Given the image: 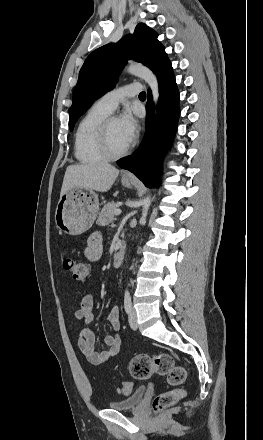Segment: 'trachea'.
<instances>
[{"mask_svg":"<svg viewBox=\"0 0 263 440\" xmlns=\"http://www.w3.org/2000/svg\"><path fill=\"white\" fill-rule=\"evenodd\" d=\"M139 97H146V93H145V92H141V93L139 94Z\"/></svg>","mask_w":263,"mask_h":440,"instance_id":"3493384b","label":"trachea"}]
</instances>
